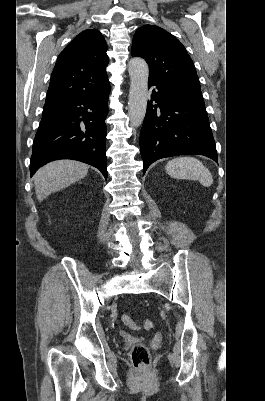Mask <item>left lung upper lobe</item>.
I'll return each mask as SVG.
<instances>
[{"mask_svg": "<svg viewBox=\"0 0 265 401\" xmlns=\"http://www.w3.org/2000/svg\"><path fill=\"white\" fill-rule=\"evenodd\" d=\"M132 56L149 65V81L157 85L201 91L199 79L185 47L170 33L154 25L140 27L133 38Z\"/></svg>", "mask_w": 265, "mask_h": 401, "instance_id": "left-lung-upper-lobe-1", "label": "left lung upper lobe"}]
</instances>
